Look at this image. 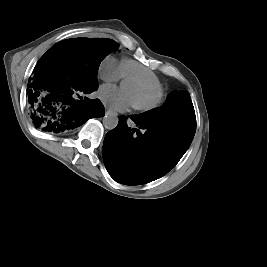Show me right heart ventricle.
<instances>
[{"label": "right heart ventricle", "instance_id": "1", "mask_svg": "<svg viewBox=\"0 0 267 267\" xmlns=\"http://www.w3.org/2000/svg\"><path fill=\"white\" fill-rule=\"evenodd\" d=\"M120 66L123 78L137 77L162 90L160 78L148 67L130 59H123Z\"/></svg>", "mask_w": 267, "mask_h": 267}]
</instances>
